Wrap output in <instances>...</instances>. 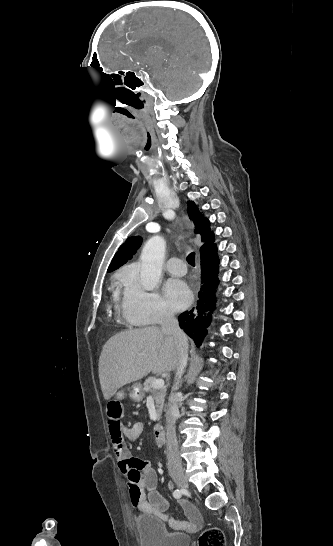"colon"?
Instances as JSON below:
<instances>
[{"label":"colon","mask_w":333,"mask_h":546,"mask_svg":"<svg viewBox=\"0 0 333 546\" xmlns=\"http://www.w3.org/2000/svg\"><path fill=\"white\" fill-rule=\"evenodd\" d=\"M122 398L113 396L106 403V418L108 422H119L122 416ZM199 546H224L225 537L220 529L209 528L205 530L199 537Z\"/></svg>","instance_id":"colon-1"}]
</instances>
